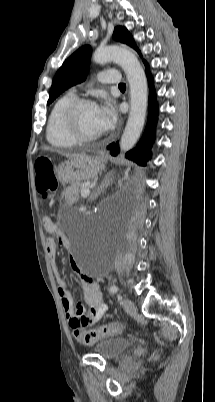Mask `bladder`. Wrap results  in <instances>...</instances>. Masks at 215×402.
Wrapping results in <instances>:
<instances>
[{"label": "bladder", "mask_w": 215, "mask_h": 402, "mask_svg": "<svg viewBox=\"0 0 215 402\" xmlns=\"http://www.w3.org/2000/svg\"><path fill=\"white\" fill-rule=\"evenodd\" d=\"M130 346L128 339L120 336H111L97 341L94 352L104 359H114Z\"/></svg>", "instance_id": "bladder-1"}]
</instances>
